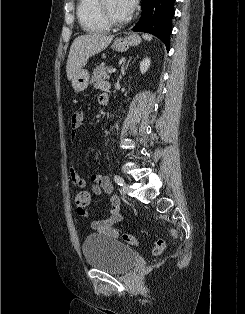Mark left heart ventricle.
<instances>
[{
	"label": "left heart ventricle",
	"mask_w": 245,
	"mask_h": 314,
	"mask_svg": "<svg viewBox=\"0 0 245 314\" xmlns=\"http://www.w3.org/2000/svg\"><path fill=\"white\" fill-rule=\"evenodd\" d=\"M104 8L107 15L113 20H123L130 14L120 5L118 0H105Z\"/></svg>",
	"instance_id": "left-heart-ventricle-1"
}]
</instances>
